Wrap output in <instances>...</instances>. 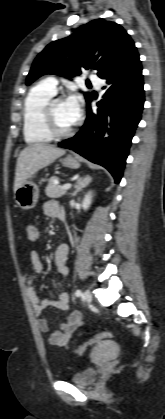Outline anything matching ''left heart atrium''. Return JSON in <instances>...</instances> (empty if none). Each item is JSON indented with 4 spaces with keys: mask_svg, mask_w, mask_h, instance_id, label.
Segmentation results:
<instances>
[{
    "mask_svg": "<svg viewBox=\"0 0 165 419\" xmlns=\"http://www.w3.org/2000/svg\"><path fill=\"white\" fill-rule=\"evenodd\" d=\"M67 114L73 122H77L82 114V98L79 94L73 93L64 101Z\"/></svg>",
    "mask_w": 165,
    "mask_h": 419,
    "instance_id": "1",
    "label": "left heart atrium"
}]
</instances>
